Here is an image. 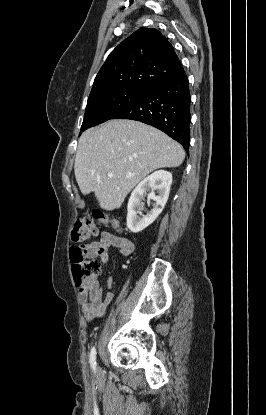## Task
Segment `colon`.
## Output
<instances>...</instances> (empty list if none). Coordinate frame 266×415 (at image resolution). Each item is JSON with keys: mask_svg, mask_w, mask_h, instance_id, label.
Returning <instances> with one entry per match:
<instances>
[{"mask_svg": "<svg viewBox=\"0 0 266 415\" xmlns=\"http://www.w3.org/2000/svg\"><path fill=\"white\" fill-rule=\"evenodd\" d=\"M110 225L116 230L121 229L120 221L108 218L103 212L96 211L90 216L78 218L71 232V238L78 243L98 234V226ZM74 280L81 287L90 278L95 277L101 272V263L96 259H91L82 245H74L70 250Z\"/></svg>", "mask_w": 266, "mask_h": 415, "instance_id": "1", "label": "colon"}]
</instances>
